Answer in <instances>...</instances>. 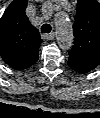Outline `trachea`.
I'll return each mask as SVG.
<instances>
[{
    "instance_id": "trachea-1",
    "label": "trachea",
    "mask_w": 100,
    "mask_h": 118,
    "mask_svg": "<svg viewBox=\"0 0 100 118\" xmlns=\"http://www.w3.org/2000/svg\"><path fill=\"white\" fill-rule=\"evenodd\" d=\"M52 30V27L49 24H43L41 26V32L42 33H50Z\"/></svg>"
}]
</instances>
